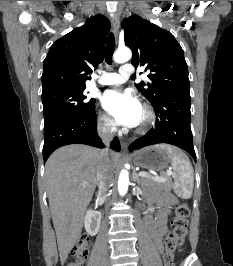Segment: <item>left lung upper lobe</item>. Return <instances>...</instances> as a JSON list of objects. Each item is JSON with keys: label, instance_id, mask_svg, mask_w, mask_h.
Wrapping results in <instances>:
<instances>
[{"label": "left lung upper lobe", "instance_id": "1", "mask_svg": "<svg viewBox=\"0 0 233 266\" xmlns=\"http://www.w3.org/2000/svg\"><path fill=\"white\" fill-rule=\"evenodd\" d=\"M125 44L133 51L132 64L144 66L151 82L136 84L154 106L165 96L189 92L184 52L173 35L138 15L124 19Z\"/></svg>", "mask_w": 233, "mask_h": 266}]
</instances>
